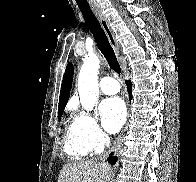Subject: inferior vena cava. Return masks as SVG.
<instances>
[{"mask_svg": "<svg viewBox=\"0 0 196 182\" xmlns=\"http://www.w3.org/2000/svg\"><path fill=\"white\" fill-rule=\"evenodd\" d=\"M104 140L106 142V145L109 146V144H110V138L108 137V135H105Z\"/></svg>", "mask_w": 196, "mask_h": 182, "instance_id": "1", "label": "inferior vena cava"}]
</instances>
